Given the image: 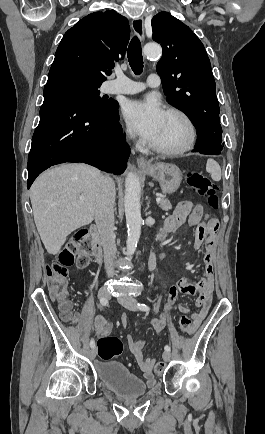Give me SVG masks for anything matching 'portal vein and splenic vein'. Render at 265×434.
<instances>
[{
  "instance_id": "obj_1",
  "label": "portal vein and splenic vein",
  "mask_w": 265,
  "mask_h": 434,
  "mask_svg": "<svg viewBox=\"0 0 265 434\" xmlns=\"http://www.w3.org/2000/svg\"><path fill=\"white\" fill-rule=\"evenodd\" d=\"M80 202H84V198H79ZM156 202H161V198H156Z\"/></svg>"
}]
</instances>
